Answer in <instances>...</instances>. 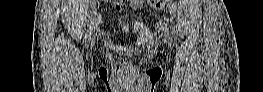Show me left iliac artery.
Here are the masks:
<instances>
[{"label": "left iliac artery", "mask_w": 263, "mask_h": 92, "mask_svg": "<svg viewBox=\"0 0 263 92\" xmlns=\"http://www.w3.org/2000/svg\"><path fill=\"white\" fill-rule=\"evenodd\" d=\"M168 37H169V39H170V33L168 32Z\"/></svg>", "instance_id": "44dca946"}]
</instances>
